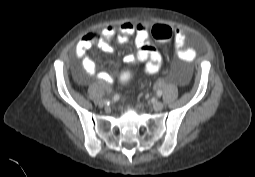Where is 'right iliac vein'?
<instances>
[{
    "label": "right iliac vein",
    "instance_id": "obj_1",
    "mask_svg": "<svg viewBox=\"0 0 255 177\" xmlns=\"http://www.w3.org/2000/svg\"><path fill=\"white\" fill-rule=\"evenodd\" d=\"M106 105H107V101L106 100L99 101V106L104 107Z\"/></svg>",
    "mask_w": 255,
    "mask_h": 177
}]
</instances>
